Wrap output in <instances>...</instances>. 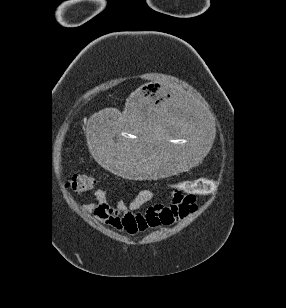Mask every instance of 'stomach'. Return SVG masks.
I'll return each mask as SVG.
<instances>
[{"instance_id":"0dacf381","label":"stomach","mask_w":286,"mask_h":308,"mask_svg":"<svg viewBox=\"0 0 286 308\" xmlns=\"http://www.w3.org/2000/svg\"><path fill=\"white\" fill-rule=\"evenodd\" d=\"M203 100L186 91H164L157 82L139 87L123 113L96 109L85 122L86 149L96 165L129 182H160L198 168L212 149L215 125Z\"/></svg>"}]
</instances>
